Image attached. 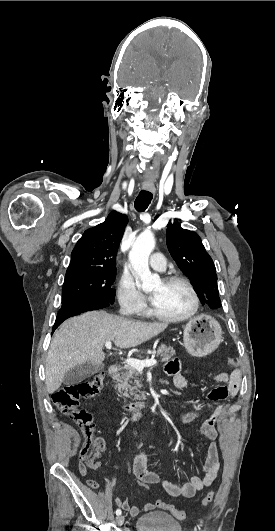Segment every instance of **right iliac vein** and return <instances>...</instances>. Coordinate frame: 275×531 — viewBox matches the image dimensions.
<instances>
[{"mask_svg":"<svg viewBox=\"0 0 275 531\" xmlns=\"http://www.w3.org/2000/svg\"><path fill=\"white\" fill-rule=\"evenodd\" d=\"M116 521L118 525H122L124 522V517L122 515L116 517Z\"/></svg>","mask_w":275,"mask_h":531,"instance_id":"obj_1","label":"right iliac vein"}]
</instances>
